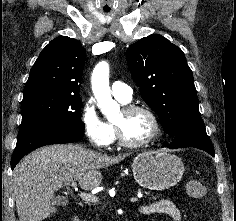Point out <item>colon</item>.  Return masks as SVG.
Instances as JSON below:
<instances>
[{"instance_id": "5ec220e1", "label": "colon", "mask_w": 236, "mask_h": 221, "mask_svg": "<svg viewBox=\"0 0 236 221\" xmlns=\"http://www.w3.org/2000/svg\"><path fill=\"white\" fill-rule=\"evenodd\" d=\"M187 193L193 199H203L207 195V190L202 182L190 181L187 183Z\"/></svg>"}]
</instances>
